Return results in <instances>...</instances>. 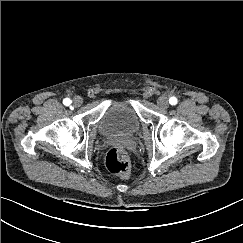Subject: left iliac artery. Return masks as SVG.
<instances>
[{"instance_id": "left-iliac-artery-1", "label": "left iliac artery", "mask_w": 243, "mask_h": 243, "mask_svg": "<svg viewBox=\"0 0 243 243\" xmlns=\"http://www.w3.org/2000/svg\"><path fill=\"white\" fill-rule=\"evenodd\" d=\"M177 98L176 97H171L170 99H169V103L171 104V105H176L177 104Z\"/></svg>"}]
</instances>
